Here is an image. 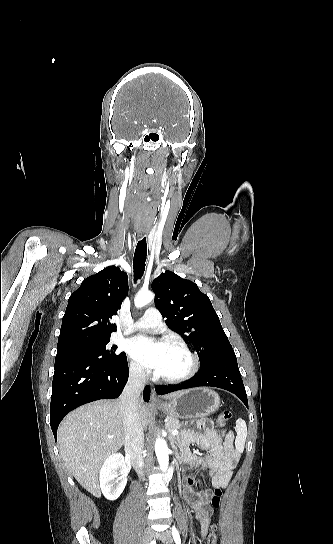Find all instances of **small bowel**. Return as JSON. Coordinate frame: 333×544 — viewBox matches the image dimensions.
<instances>
[{
    "label": "small bowel",
    "mask_w": 333,
    "mask_h": 544,
    "mask_svg": "<svg viewBox=\"0 0 333 544\" xmlns=\"http://www.w3.org/2000/svg\"><path fill=\"white\" fill-rule=\"evenodd\" d=\"M193 425L194 429L182 434L177 449L180 459L189 468L184 473V497L200 522L204 539L213 515V508L209 505L212 493L209 487L197 489L198 480L194 473L206 474L211 487L225 488L239 461L240 452L234 446V434L216 432L210 419L196 420ZM191 444L197 445L202 452H191L188 449Z\"/></svg>",
    "instance_id": "obj_1"
}]
</instances>
